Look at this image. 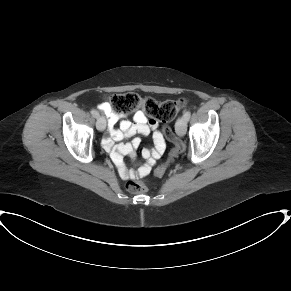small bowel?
I'll return each instance as SVG.
<instances>
[{
	"label": "small bowel",
	"mask_w": 291,
	"mask_h": 291,
	"mask_svg": "<svg viewBox=\"0 0 291 291\" xmlns=\"http://www.w3.org/2000/svg\"><path fill=\"white\" fill-rule=\"evenodd\" d=\"M98 108L108 118L109 138L103 141V146L110 153L120 176L125 180H130L150 173L155 162L162 156L166 147L164 136L159 130L158 121L149 118L142 110H138L134 113V122L131 123L127 120L125 112L114 110L109 102L100 104ZM150 133L153 135L154 148L152 150L144 149L141 152L144 160L143 163L138 164L135 168H127L123 157L128 155L130 158H134V152L140 144V139L134 138L129 143L119 145H115V142L130 138L135 134L148 135ZM185 151V146L180 142L177 143L173 160L178 159Z\"/></svg>",
	"instance_id": "c3829d8e"
}]
</instances>
